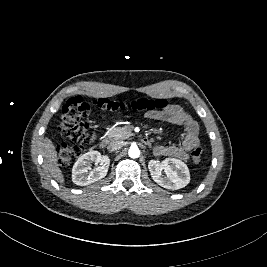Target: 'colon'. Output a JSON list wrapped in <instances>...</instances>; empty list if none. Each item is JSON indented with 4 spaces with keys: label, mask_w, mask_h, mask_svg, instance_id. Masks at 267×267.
<instances>
[{
    "label": "colon",
    "mask_w": 267,
    "mask_h": 267,
    "mask_svg": "<svg viewBox=\"0 0 267 267\" xmlns=\"http://www.w3.org/2000/svg\"><path fill=\"white\" fill-rule=\"evenodd\" d=\"M166 99H138L132 102H116L100 98L92 102L81 96L68 99L61 109L59 130L68 142H62L57 146L58 161L61 166H68L79 158L87 148L90 141V123L87 117L92 109H97L103 114H114L120 111H145L159 112L169 106ZM203 148L197 145L191 152V158L195 163L202 160Z\"/></svg>",
    "instance_id": "5ec220e1"
}]
</instances>
